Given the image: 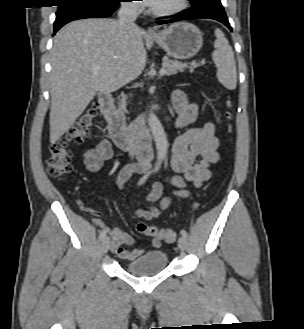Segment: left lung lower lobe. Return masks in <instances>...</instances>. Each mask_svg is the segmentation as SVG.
<instances>
[{"label": "left lung lower lobe", "mask_w": 304, "mask_h": 329, "mask_svg": "<svg viewBox=\"0 0 304 329\" xmlns=\"http://www.w3.org/2000/svg\"><path fill=\"white\" fill-rule=\"evenodd\" d=\"M191 3L193 4L192 8L188 11L180 12L178 14L179 17L157 23L167 24L181 20L209 18L223 23L232 31L220 0H191Z\"/></svg>", "instance_id": "1"}]
</instances>
